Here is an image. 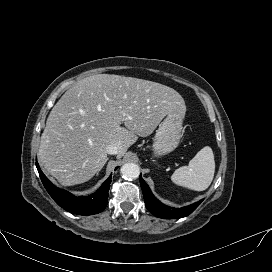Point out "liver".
Segmentation results:
<instances>
[{
  "label": "liver",
  "mask_w": 272,
  "mask_h": 272,
  "mask_svg": "<svg viewBox=\"0 0 272 272\" xmlns=\"http://www.w3.org/2000/svg\"><path fill=\"white\" fill-rule=\"evenodd\" d=\"M170 112L184 117L186 106L168 86L114 74L86 77L51 110L41 136L40 165L64 186L84 183L106 163L109 145L118 146L121 158Z\"/></svg>",
  "instance_id": "6515ba94"
}]
</instances>
